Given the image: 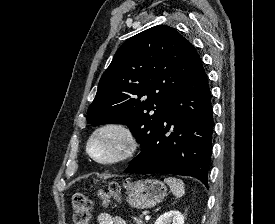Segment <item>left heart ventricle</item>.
I'll use <instances>...</instances> for the list:
<instances>
[{
  "mask_svg": "<svg viewBox=\"0 0 275 224\" xmlns=\"http://www.w3.org/2000/svg\"><path fill=\"white\" fill-rule=\"evenodd\" d=\"M123 147L124 141L122 137L114 131H108L93 140L91 151L100 159H110L117 156Z\"/></svg>",
  "mask_w": 275,
  "mask_h": 224,
  "instance_id": "1",
  "label": "left heart ventricle"
}]
</instances>
